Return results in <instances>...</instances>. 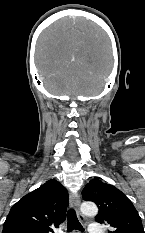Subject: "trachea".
I'll use <instances>...</instances> for the list:
<instances>
[{"label": "trachea", "mask_w": 145, "mask_h": 233, "mask_svg": "<svg viewBox=\"0 0 145 233\" xmlns=\"http://www.w3.org/2000/svg\"><path fill=\"white\" fill-rule=\"evenodd\" d=\"M77 229L79 231H83L82 225L80 224L76 213L73 209H69L67 213V230L68 232Z\"/></svg>", "instance_id": "obj_1"}]
</instances>
